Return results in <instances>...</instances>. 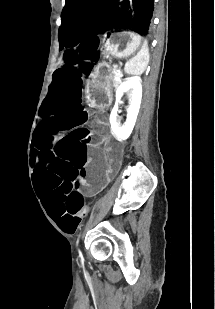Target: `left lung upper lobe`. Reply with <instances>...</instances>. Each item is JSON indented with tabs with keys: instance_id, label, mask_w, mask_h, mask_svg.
<instances>
[{
	"instance_id": "1",
	"label": "left lung upper lobe",
	"mask_w": 215,
	"mask_h": 309,
	"mask_svg": "<svg viewBox=\"0 0 215 309\" xmlns=\"http://www.w3.org/2000/svg\"><path fill=\"white\" fill-rule=\"evenodd\" d=\"M154 0H66L59 29V45L78 43L113 29L148 35Z\"/></svg>"
}]
</instances>
